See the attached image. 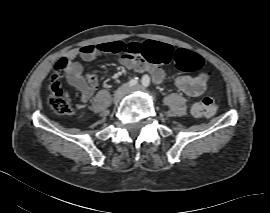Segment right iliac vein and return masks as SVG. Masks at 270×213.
<instances>
[{
  "mask_svg": "<svg viewBox=\"0 0 270 213\" xmlns=\"http://www.w3.org/2000/svg\"><path fill=\"white\" fill-rule=\"evenodd\" d=\"M125 91H126V86L125 85L119 87L115 91V93L113 95V103L117 104L122 99V97L124 96Z\"/></svg>",
  "mask_w": 270,
  "mask_h": 213,
  "instance_id": "right-iliac-vein-1",
  "label": "right iliac vein"
}]
</instances>
